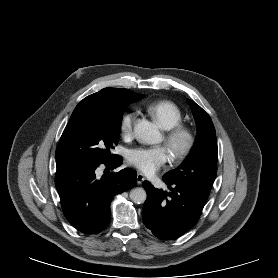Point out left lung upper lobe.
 Instances as JSON below:
<instances>
[{"instance_id": "obj_1", "label": "left lung upper lobe", "mask_w": 278, "mask_h": 278, "mask_svg": "<svg viewBox=\"0 0 278 278\" xmlns=\"http://www.w3.org/2000/svg\"><path fill=\"white\" fill-rule=\"evenodd\" d=\"M196 125V143L184 162L163 177L211 190L217 174L218 148L216 132L210 116L194 101L188 100Z\"/></svg>"}]
</instances>
